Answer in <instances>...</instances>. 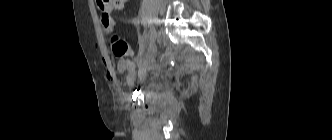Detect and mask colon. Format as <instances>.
I'll return each instance as SVG.
<instances>
[{
    "instance_id": "obj_1",
    "label": "colon",
    "mask_w": 332,
    "mask_h": 140,
    "mask_svg": "<svg viewBox=\"0 0 332 140\" xmlns=\"http://www.w3.org/2000/svg\"><path fill=\"white\" fill-rule=\"evenodd\" d=\"M126 0H96L97 6L103 11L100 16V23L102 29L106 33L113 32L115 28V22L109 12L106 9H119L123 6ZM111 49L116 57H128L131 54L129 45L120 37L113 36L111 38Z\"/></svg>"
}]
</instances>
